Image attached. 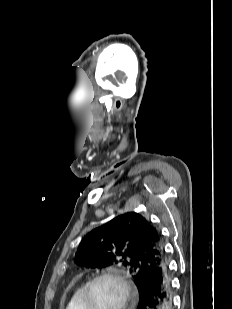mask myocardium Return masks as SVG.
I'll return each mask as SVG.
<instances>
[{"mask_svg":"<svg viewBox=\"0 0 232 309\" xmlns=\"http://www.w3.org/2000/svg\"><path fill=\"white\" fill-rule=\"evenodd\" d=\"M101 279H112L119 284V286L122 289V301L118 309H127L133 295L132 287L128 282V280L126 279L125 275H123L120 271L115 269L97 273L87 281V283L84 286V291L82 295V303L84 309H93L90 300L91 289L93 285Z\"/></svg>","mask_w":232,"mask_h":309,"instance_id":"obj_1","label":"myocardium"}]
</instances>
